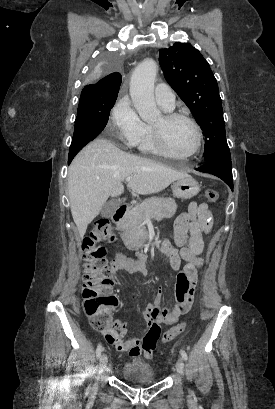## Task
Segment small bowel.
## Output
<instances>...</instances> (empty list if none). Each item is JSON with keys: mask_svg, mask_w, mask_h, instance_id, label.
Masks as SVG:
<instances>
[{"mask_svg": "<svg viewBox=\"0 0 275 409\" xmlns=\"http://www.w3.org/2000/svg\"><path fill=\"white\" fill-rule=\"evenodd\" d=\"M212 228V214L206 203L192 202L186 213L181 214L175 223V237L177 247H169L170 266L174 270L180 269L181 258L186 260V265L178 273L175 287L176 304L171 308H160L163 288L157 289L154 298L155 305H149L142 312V318L149 324L141 337H124L126 333L125 323H116L112 330H104V341L116 351H132L131 358L135 355L142 360H152L157 354L160 340L158 334L162 328L160 322L172 325L178 318L187 313L194 302L196 287L198 284V270L203 260L201 254L204 249L202 234L209 233ZM128 270L138 272L139 275L146 273V264L143 259L132 260L124 265L114 267V271ZM116 284L122 283L121 277L115 278ZM131 296L136 297V292L131 291ZM152 324V325H151Z\"/></svg>", "mask_w": 275, "mask_h": 409, "instance_id": "small-bowel-1", "label": "small bowel"}]
</instances>
